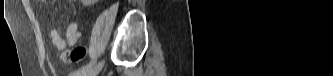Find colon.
Masks as SVG:
<instances>
[{
  "instance_id": "colon-1",
  "label": "colon",
  "mask_w": 333,
  "mask_h": 76,
  "mask_svg": "<svg viewBox=\"0 0 333 76\" xmlns=\"http://www.w3.org/2000/svg\"><path fill=\"white\" fill-rule=\"evenodd\" d=\"M86 54V49L82 46L77 47L71 51H63L61 53V59L65 63L79 62Z\"/></svg>"
}]
</instances>
